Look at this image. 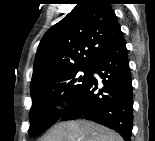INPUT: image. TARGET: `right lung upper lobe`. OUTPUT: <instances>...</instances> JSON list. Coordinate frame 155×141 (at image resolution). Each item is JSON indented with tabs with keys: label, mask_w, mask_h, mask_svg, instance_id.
Masks as SVG:
<instances>
[{
	"label": "right lung upper lobe",
	"mask_w": 155,
	"mask_h": 141,
	"mask_svg": "<svg viewBox=\"0 0 155 141\" xmlns=\"http://www.w3.org/2000/svg\"><path fill=\"white\" fill-rule=\"evenodd\" d=\"M120 33L108 0H81L43 36L37 49L30 87L57 74L93 67Z\"/></svg>",
	"instance_id": "cb5924a9"
}]
</instances>
